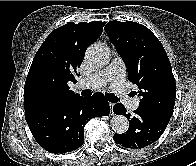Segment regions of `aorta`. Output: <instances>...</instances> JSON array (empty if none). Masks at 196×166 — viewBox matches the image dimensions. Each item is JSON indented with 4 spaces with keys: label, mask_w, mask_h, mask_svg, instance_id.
<instances>
[{
    "label": "aorta",
    "mask_w": 196,
    "mask_h": 166,
    "mask_svg": "<svg viewBox=\"0 0 196 166\" xmlns=\"http://www.w3.org/2000/svg\"><path fill=\"white\" fill-rule=\"evenodd\" d=\"M110 50L103 44H93L86 51V59L95 66H105L110 62ZM111 127L118 134L128 130V119L123 115H115L111 119Z\"/></svg>",
    "instance_id": "aorta-1"
}]
</instances>
